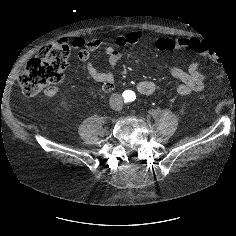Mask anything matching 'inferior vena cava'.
Wrapping results in <instances>:
<instances>
[{
	"instance_id": "602c4592",
	"label": "inferior vena cava",
	"mask_w": 236,
	"mask_h": 236,
	"mask_svg": "<svg viewBox=\"0 0 236 236\" xmlns=\"http://www.w3.org/2000/svg\"><path fill=\"white\" fill-rule=\"evenodd\" d=\"M109 104H110V107L114 110L122 109V106H123L122 96L118 93H113L110 96Z\"/></svg>"
}]
</instances>
